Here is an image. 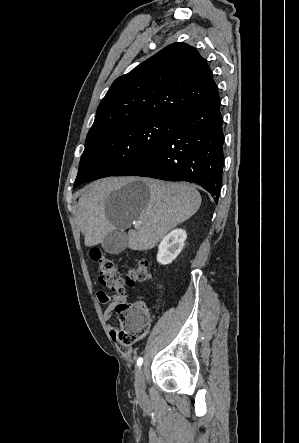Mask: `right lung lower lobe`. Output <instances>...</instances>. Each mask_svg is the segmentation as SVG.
Instances as JSON below:
<instances>
[{
    "mask_svg": "<svg viewBox=\"0 0 299 443\" xmlns=\"http://www.w3.org/2000/svg\"><path fill=\"white\" fill-rule=\"evenodd\" d=\"M166 140L117 176H143L201 185L218 202L223 172V130L217 87L173 117Z\"/></svg>",
    "mask_w": 299,
    "mask_h": 443,
    "instance_id": "right-lung-lower-lobe-1",
    "label": "right lung lower lobe"
}]
</instances>
